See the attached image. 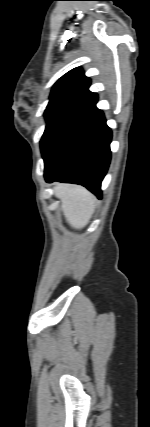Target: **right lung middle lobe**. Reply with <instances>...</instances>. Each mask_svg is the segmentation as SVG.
Instances as JSON below:
<instances>
[{"instance_id": "1", "label": "right lung middle lobe", "mask_w": 150, "mask_h": 427, "mask_svg": "<svg viewBox=\"0 0 150 427\" xmlns=\"http://www.w3.org/2000/svg\"><path fill=\"white\" fill-rule=\"evenodd\" d=\"M77 109L52 108L46 109V129L41 139V151L44 161L50 154L59 136L69 123L80 113Z\"/></svg>"}]
</instances>
